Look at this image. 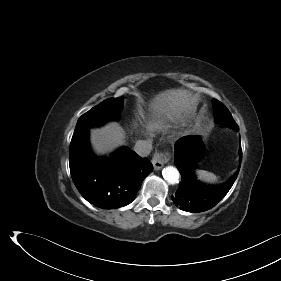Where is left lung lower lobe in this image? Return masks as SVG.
<instances>
[{
    "label": "left lung lower lobe",
    "instance_id": "0a47b994",
    "mask_svg": "<svg viewBox=\"0 0 281 281\" xmlns=\"http://www.w3.org/2000/svg\"><path fill=\"white\" fill-rule=\"evenodd\" d=\"M202 151L200 140L196 136H185L175 143L174 163L182 179L179 189L171 198L176 206L187 212H203L214 207L228 193L239 172L238 170L234 176L220 186L200 183L194 176V168ZM240 158H242L241 148Z\"/></svg>",
    "mask_w": 281,
    "mask_h": 281
}]
</instances>
